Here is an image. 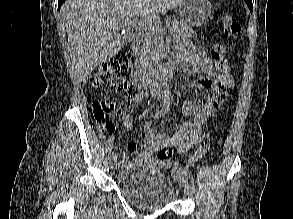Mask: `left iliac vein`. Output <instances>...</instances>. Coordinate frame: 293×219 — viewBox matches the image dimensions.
Returning a JSON list of instances; mask_svg holds the SVG:
<instances>
[{
	"mask_svg": "<svg viewBox=\"0 0 293 219\" xmlns=\"http://www.w3.org/2000/svg\"><path fill=\"white\" fill-rule=\"evenodd\" d=\"M185 194L187 196H190V194H191V187H190V184L188 182L185 184Z\"/></svg>",
	"mask_w": 293,
	"mask_h": 219,
	"instance_id": "4c4485c4",
	"label": "left iliac vein"
}]
</instances>
